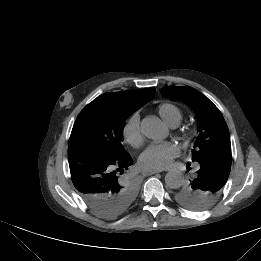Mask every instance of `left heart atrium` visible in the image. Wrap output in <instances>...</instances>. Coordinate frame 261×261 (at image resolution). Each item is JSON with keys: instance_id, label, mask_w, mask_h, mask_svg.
I'll list each match as a JSON object with an SVG mask.
<instances>
[{"instance_id": "obj_1", "label": "left heart atrium", "mask_w": 261, "mask_h": 261, "mask_svg": "<svg viewBox=\"0 0 261 261\" xmlns=\"http://www.w3.org/2000/svg\"><path fill=\"white\" fill-rule=\"evenodd\" d=\"M179 152L180 148L174 142L153 143L141 153L139 163L144 169H164L179 155Z\"/></svg>"}]
</instances>
